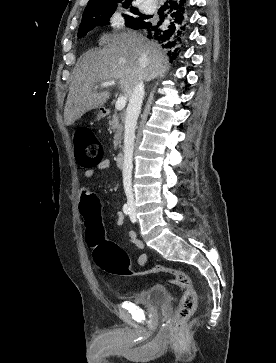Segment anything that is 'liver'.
I'll return each instance as SVG.
<instances>
[{
    "mask_svg": "<svg viewBox=\"0 0 276 363\" xmlns=\"http://www.w3.org/2000/svg\"><path fill=\"white\" fill-rule=\"evenodd\" d=\"M100 42L105 46L86 52L74 69L64 109L66 126L109 99L110 93L93 90L95 85L119 80L123 95L130 99L140 81H151L169 68L161 47L136 31L104 34Z\"/></svg>",
    "mask_w": 276,
    "mask_h": 363,
    "instance_id": "1",
    "label": "liver"
}]
</instances>
